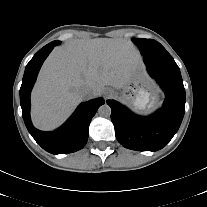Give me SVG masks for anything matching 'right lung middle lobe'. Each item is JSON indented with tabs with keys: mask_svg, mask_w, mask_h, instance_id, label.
Returning <instances> with one entry per match:
<instances>
[{
	"mask_svg": "<svg viewBox=\"0 0 207 207\" xmlns=\"http://www.w3.org/2000/svg\"><path fill=\"white\" fill-rule=\"evenodd\" d=\"M56 45L60 44V41H53Z\"/></svg>",
	"mask_w": 207,
	"mask_h": 207,
	"instance_id": "right-lung-middle-lobe-1",
	"label": "right lung middle lobe"
}]
</instances>
